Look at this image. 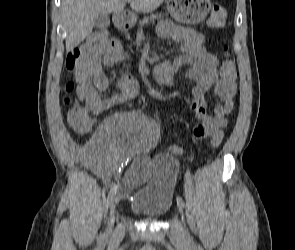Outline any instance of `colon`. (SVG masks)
<instances>
[{
  "instance_id": "obj_1",
  "label": "colon",
  "mask_w": 295,
  "mask_h": 250,
  "mask_svg": "<svg viewBox=\"0 0 295 250\" xmlns=\"http://www.w3.org/2000/svg\"><path fill=\"white\" fill-rule=\"evenodd\" d=\"M227 21V11L220 5L215 4L212 7L211 14L208 20L209 26L220 29L225 26ZM108 41V33L106 31H98L89 39L85 47L77 49L73 55L82 56L89 50L102 48ZM225 58L220 67L221 79L226 82H234L236 79L235 62L228 53V46H224ZM75 84L70 81L64 86L63 102L67 108V121L69 125L78 132H88L92 129L95 121V115L98 110L95 106L79 103L74 97Z\"/></svg>"
}]
</instances>
